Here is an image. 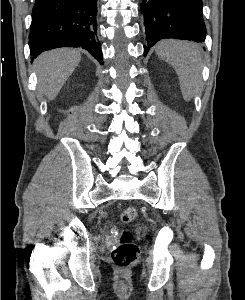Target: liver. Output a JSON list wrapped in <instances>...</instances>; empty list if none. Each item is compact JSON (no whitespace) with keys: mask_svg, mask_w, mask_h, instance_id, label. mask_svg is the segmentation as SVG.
Masks as SVG:
<instances>
[{"mask_svg":"<svg viewBox=\"0 0 245 300\" xmlns=\"http://www.w3.org/2000/svg\"><path fill=\"white\" fill-rule=\"evenodd\" d=\"M81 60L74 49H55L41 54L34 61L38 89L48 100H53Z\"/></svg>","mask_w":245,"mask_h":300,"instance_id":"6515ba94","label":"liver"}]
</instances>
